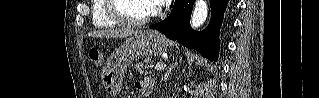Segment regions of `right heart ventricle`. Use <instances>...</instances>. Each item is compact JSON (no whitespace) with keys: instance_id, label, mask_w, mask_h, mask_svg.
Here are the masks:
<instances>
[{"instance_id":"e07e8e85","label":"right heart ventricle","mask_w":319,"mask_h":98,"mask_svg":"<svg viewBox=\"0 0 319 98\" xmlns=\"http://www.w3.org/2000/svg\"><path fill=\"white\" fill-rule=\"evenodd\" d=\"M91 20L93 26L98 29L113 27L117 24L106 13V0L92 1Z\"/></svg>"}]
</instances>
